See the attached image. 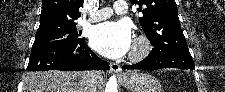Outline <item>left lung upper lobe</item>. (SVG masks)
<instances>
[{"mask_svg":"<svg viewBox=\"0 0 225 92\" xmlns=\"http://www.w3.org/2000/svg\"><path fill=\"white\" fill-rule=\"evenodd\" d=\"M130 2L138 5V11L143 13L139 22L154 46L153 51H188L174 0H130Z\"/></svg>","mask_w":225,"mask_h":92,"instance_id":"obj_1","label":"left lung upper lobe"}]
</instances>
